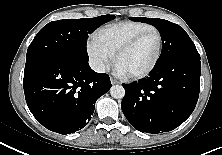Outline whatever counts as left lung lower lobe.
<instances>
[{
	"mask_svg": "<svg viewBox=\"0 0 222 155\" xmlns=\"http://www.w3.org/2000/svg\"><path fill=\"white\" fill-rule=\"evenodd\" d=\"M200 58L175 57L155 64L147 78L123 84L122 111L140 132H167L193 112L200 91Z\"/></svg>",
	"mask_w": 222,
	"mask_h": 155,
	"instance_id": "1",
	"label": "left lung lower lobe"
}]
</instances>
